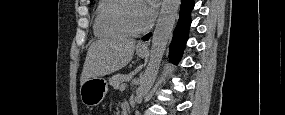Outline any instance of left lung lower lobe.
<instances>
[{
	"mask_svg": "<svg viewBox=\"0 0 285 115\" xmlns=\"http://www.w3.org/2000/svg\"><path fill=\"white\" fill-rule=\"evenodd\" d=\"M194 8V0H182L178 24L174 30L173 40L170 45V60L177 64L183 54V50L188 39V30L191 24V10ZM151 33L142 39L148 40Z\"/></svg>",
	"mask_w": 285,
	"mask_h": 115,
	"instance_id": "left-lung-lower-lobe-1",
	"label": "left lung lower lobe"
}]
</instances>
